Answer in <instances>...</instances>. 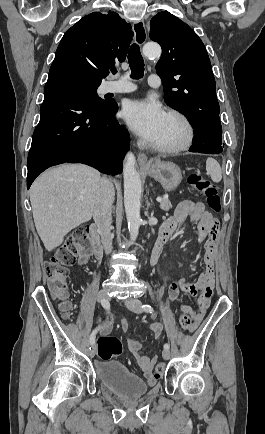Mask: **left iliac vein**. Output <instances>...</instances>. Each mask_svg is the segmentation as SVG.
Wrapping results in <instances>:
<instances>
[{"instance_id": "left-iliac-vein-1", "label": "left iliac vein", "mask_w": 265, "mask_h": 434, "mask_svg": "<svg viewBox=\"0 0 265 434\" xmlns=\"http://www.w3.org/2000/svg\"><path fill=\"white\" fill-rule=\"evenodd\" d=\"M124 305L131 311L135 313H141V302L138 299H128L124 302ZM162 355L164 359L168 360L170 358V351L169 349H164L162 352Z\"/></svg>"}]
</instances>
